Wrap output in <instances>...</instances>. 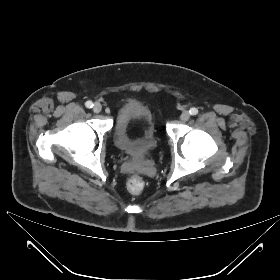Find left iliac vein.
<instances>
[{"label":"left iliac vein","mask_w":280,"mask_h":280,"mask_svg":"<svg viewBox=\"0 0 280 280\" xmlns=\"http://www.w3.org/2000/svg\"><path fill=\"white\" fill-rule=\"evenodd\" d=\"M189 118H190V113L188 111H184L180 115V120H182V121H187V120H189Z\"/></svg>","instance_id":"left-iliac-vein-1"}]
</instances>
